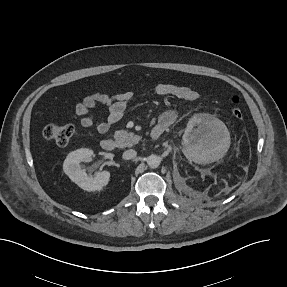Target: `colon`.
<instances>
[{"mask_svg":"<svg viewBox=\"0 0 287 287\" xmlns=\"http://www.w3.org/2000/svg\"><path fill=\"white\" fill-rule=\"evenodd\" d=\"M230 111L235 119H243L244 111L239 96L236 95L231 98ZM76 135L77 129L73 125L49 124L43 130L44 138L59 146L67 145Z\"/></svg>","mask_w":287,"mask_h":287,"instance_id":"obj_1","label":"colon"}]
</instances>
